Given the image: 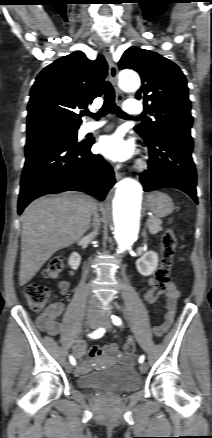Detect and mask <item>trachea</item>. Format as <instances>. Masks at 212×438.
<instances>
[{"instance_id": "trachea-1", "label": "trachea", "mask_w": 212, "mask_h": 438, "mask_svg": "<svg viewBox=\"0 0 212 438\" xmlns=\"http://www.w3.org/2000/svg\"><path fill=\"white\" fill-rule=\"evenodd\" d=\"M116 114L120 118H130L131 116L127 115L123 112L116 104H115V93L110 82H106L105 85V96L104 102L101 109L96 113L85 112L87 116H91L95 120H99L101 117L105 116L108 113Z\"/></svg>"}]
</instances>
